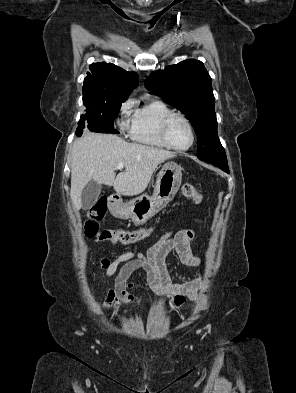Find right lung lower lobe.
Wrapping results in <instances>:
<instances>
[{"label": "right lung lower lobe", "instance_id": "98d812e1", "mask_svg": "<svg viewBox=\"0 0 296 393\" xmlns=\"http://www.w3.org/2000/svg\"><path fill=\"white\" fill-rule=\"evenodd\" d=\"M84 128H87L90 131L98 132V133H113V134L119 133L115 129L103 128V127H99V126H95V125H90V126H88V125H79L77 130H76V135L77 136H81L82 135V131H83Z\"/></svg>", "mask_w": 296, "mask_h": 393}]
</instances>
